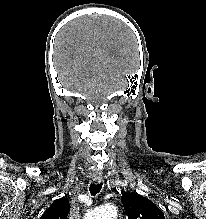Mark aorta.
Segmentation results:
<instances>
[{"mask_svg": "<svg viewBox=\"0 0 206 219\" xmlns=\"http://www.w3.org/2000/svg\"><path fill=\"white\" fill-rule=\"evenodd\" d=\"M117 209L113 205H105L96 208L89 214H87L85 219H116Z\"/></svg>", "mask_w": 206, "mask_h": 219, "instance_id": "aorta-1", "label": "aorta"}]
</instances>
